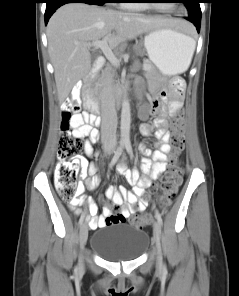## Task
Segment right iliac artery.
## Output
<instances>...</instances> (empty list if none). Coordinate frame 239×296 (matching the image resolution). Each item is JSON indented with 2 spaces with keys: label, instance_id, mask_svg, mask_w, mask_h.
<instances>
[{
  "label": "right iliac artery",
  "instance_id": "obj_1",
  "mask_svg": "<svg viewBox=\"0 0 239 296\" xmlns=\"http://www.w3.org/2000/svg\"><path fill=\"white\" fill-rule=\"evenodd\" d=\"M123 148H124V144H120V146L118 147L117 151L115 152V154L109 164V168H112L115 165V163L117 162V160L119 159V156L121 155V153L123 151ZM85 215H86V212L82 211L81 218L79 220V225H82L84 223ZM76 270H77V268H76Z\"/></svg>",
  "mask_w": 239,
  "mask_h": 296
}]
</instances>
